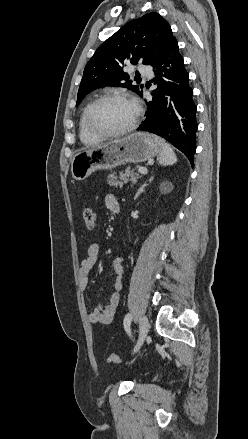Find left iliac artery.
I'll list each match as a JSON object with an SVG mask.
<instances>
[{"instance_id": "obj_1", "label": "left iliac artery", "mask_w": 248, "mask_h": 439, "mask_svg": "<svg viewBox=\"0 0 248 439\" xmlns=\"http://www.w3.org/2000/svg\"><path fill=\"white\" fill-rule=\"evenodd\" d=\"M132 321V315L130 313L126 314L124 318V328L127 331V333L130 334V323Z\"/></svg>"}]
</instances>
